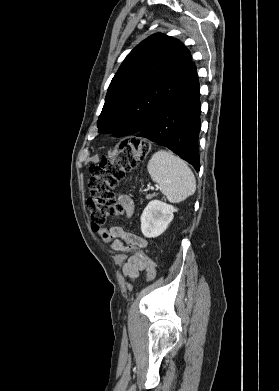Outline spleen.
<instances>
[{"label":"spleen","mask_w":279,"mask_h":391,"mask_svg":"<svg viewBox=\"0 0 279 391\" xmlns=\"http://www.w3.org/2000/svg\"><path fill=\"white\" fill-rule=\"evenodd\" d=\"M148 172L161 192L171 203H179L196 190L193 172L178 156L166 150L153 154L147 165Z\"/></svg>","instance_id":"obj_1"}]
</instances>
